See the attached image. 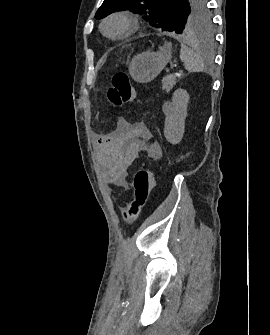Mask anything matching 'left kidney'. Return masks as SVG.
<instances>
[{
  "instance_id": "5707ae66",
  "label": "left kidney",
  "mask_w": 270,
  "mask_h": 335,
  "mask_svg": "<svg viewBox=\"0 0 270 335\" xmlns=\"http://www.w3.org/2000/svg\"><path fill=\"white\" fill-rule=\"evenodd\" d=\"M189 94L186 90H176L172 98V108L167 112L164 136L170 144H179L183 138Z\"/></svg>"
}]
</instances>
